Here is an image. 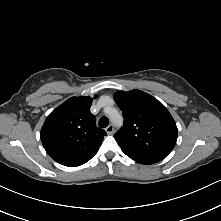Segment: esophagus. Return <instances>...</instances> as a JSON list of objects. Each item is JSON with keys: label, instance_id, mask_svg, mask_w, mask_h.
<instances>
[{"label": "esophagus", "instance_id": "obj_1", "mask_svg": "<svg viewBox=\"0 0 221 221\" xmlns=\"http://www.w3.org/2000/svg\"><path fill=\"white\" fill-rule=\"evenodd\" d=\"M106 132L107 134L111 135L114 133V126L112 124H110L107 128H106Z\"/></svg>", "mask_w": 221, "mask_h": 221}]
</instances>
